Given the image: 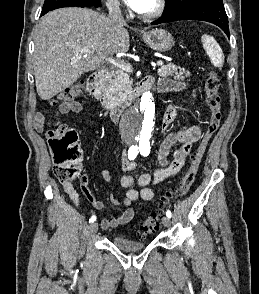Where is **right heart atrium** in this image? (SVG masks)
Instances as JSON below:
<instances>
[{
  "instance_id": "obj_1",
  "label": "right heart atrium",
  "mask_w": 259,
  "mask_h": 294,
  "mask_svg": "<svg viewBox=\"0 0 259 294\" xmlns=\"http://www.w3.org/2000/svg\"><path fill=\"white\" fill-rule=\"evenodd\" d=\"M109 10L112 13L119 14L122 12V6L118 0H105Z\"/></svg>"
}]
</instances>
